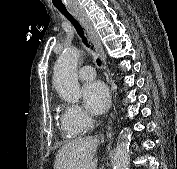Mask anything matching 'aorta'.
Returning a JSON list of instances; mask_svg holds the SVG:
<instances>
[{
    "label": "aorta",
    "mask_w": 177,
    "mask_h": 169,
    "mask_svg": "<svg viewBox=\"0 0 177 169\" xmlns=\"http://www.w3.org/2000/svg\"><path fill=\"white\" fill-rule=\"evenodd\" d=\"M79 58L80 50L67 46L54 65L53 84L59 96L69 103H76L81 97V89L77 79ZM130 142V135L122 134L114 153L113 169H128Z\"/></svg>",
    "instance_id": "1"
}]
</instances>
